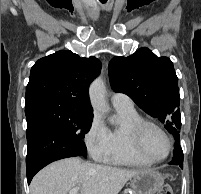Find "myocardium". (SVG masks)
Segmentation results:
<instances>
[{
    "label": "myocardium",
    "instance_id": "myocardium-1",
    "mask_svg": "<svg viewBox=\"0 0 201 194\" xmlns=\"http://www.w3.org/2000/svg\"><path fill=\"white\" fill-rule=\"evenodd\" d=\"M148 127H153L155 129H157L160 133L163 134V136L166 138L167 143H168V151L166 153L165 156L161 157V158H153L151 156H149L146 151L143 148V135L145 130ZM133 144L135 149L137 150V152L147 161L151 162V163H159V162H163L164 160H166L172 150H173V141L171 136L169 135V133L158 123L154 122V121H150V120H144L142 119L140 122H138L134 128H133Z\"/></svg>",
    "mask_w": 201,
    "mask_h": 194
}]
</instances>
